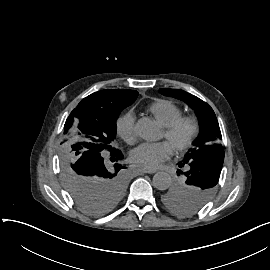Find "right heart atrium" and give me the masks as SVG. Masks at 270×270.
<instances>
[{"mask_svg":"<svg viewBox=\"0 0 270 270\" xmlns=\"http://www.w3.org/2000/svg\"><path fill=\"white\" fill-rule=\"evenodd\" d=\"M117 134L128 144L137 140L136 119L132 111L120 116L116 122Z\"/></svg>","mask_w":270,"mask_h":270,"instance_id":"d8ad5b80","label":"right heart atrium"}]
</instances>
